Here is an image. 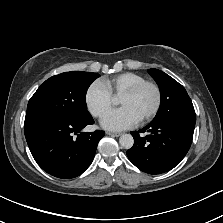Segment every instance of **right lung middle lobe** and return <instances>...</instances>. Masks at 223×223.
<instances>
[{
	"label": "right lung middle lobe",
	"mask_w": 223,
	"mask_h": 223,
	"mask_svg": "<svg viewBox=\"0 0 223 223\" xmlns=\"http://www.w3.org/2000/svg\"><path fill=\"white\" fill-rule=\"evenodd\" d=\"M98 77L91 72H65L50 77L29 100L24 125L45 120L90 119L86 92Z\"/></svg>",
	"instance_id": "obj_1"
}]
</instances>
